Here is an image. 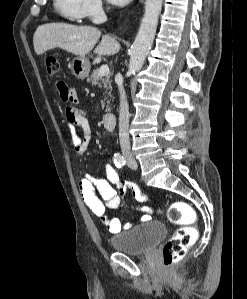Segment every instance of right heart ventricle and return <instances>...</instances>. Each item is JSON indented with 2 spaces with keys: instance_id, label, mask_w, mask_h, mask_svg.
I'll use <instances>...</instances> for the list:
<instances>
[{
  "instance_id": "1",
  "label": "right heart ventricle",
  "mask_w": 247,
  "mask_h": 299,
  "mask_svg": "<svg viewBox=\"0 0 247 299\" xmlns=\"http://www.w3.org/2000/svg\"><path fill=\"white\" fill-rule=\"evenodd\" d=\"M54 8L68 21L78 22L85 17L83 0H54Z\"/></svg>"
}]
</instances>
